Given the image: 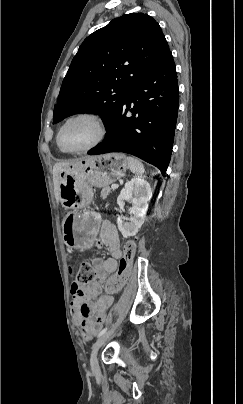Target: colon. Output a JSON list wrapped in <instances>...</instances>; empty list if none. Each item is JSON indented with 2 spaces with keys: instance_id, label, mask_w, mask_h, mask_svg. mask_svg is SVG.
<instances>
[{
  "instance_id": "1",
  "label": "colon",
  "mask_w": 243,
  "mask_h": 404,
  "mask_svg": "<svg viewBox=\"0 0 243 404\" xmlns=\"http://www.w3.org/2000/svg\"><path fill=\"white\" fill-rule=\"evenodd\" d=\"M136 251V244L134 241H128L124 245L123 254L119 259L118 269L116 273L109 278L106 283V290L108 293H114L123 288L126 284L130 269L133 262V258ZM97 279V271L89 262H83L80 265L77 282L80 284H89Z\"/></svg>"
}]
</instances>
